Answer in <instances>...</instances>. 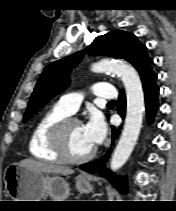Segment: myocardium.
Returning <instances> with one entry per match:
<instances>
[{"mask_svg":"<svg viewBox=\"0 0 176 211\" xmlns=\"http://www.w3.org/2000/svg\"><path fill=\"white\" fill-rule=\"evenodd\" d=\"M73 123L81 124V121L73 116H66L60 119L51 128L49 139L53 151L58 155L61 161L72 164H80L90 160L95 155L96 148L93 147L88 153L82 156H73L68 151L66 143V130Z\"/></svg>","mask_w":176,"mask_h":211,"instance_id":"obj_1","label":"myocardium"}]
</instances>
